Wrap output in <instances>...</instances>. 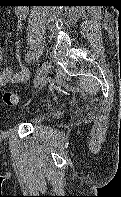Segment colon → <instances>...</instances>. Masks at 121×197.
Here are the masks:
<instances>
[{"label": "colon", "mask_w": 121, "mask_h": 197, "mask_svg": "<svg viewBox=\"0 0 121 197\" xmlns=\"http://www.w3.org/2000/svg\"><path fill=\"white\" fill-rule=\"evenodd\" d=\"M2 100L7 106H14L18 102L17 96L12 92H5L2 96Z\"/></svg>", "instance_id": "5ec220e1"}]
</instances>
